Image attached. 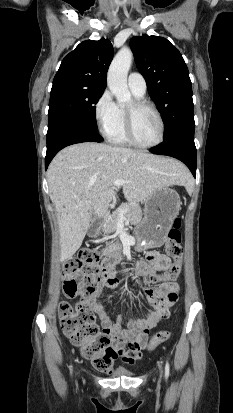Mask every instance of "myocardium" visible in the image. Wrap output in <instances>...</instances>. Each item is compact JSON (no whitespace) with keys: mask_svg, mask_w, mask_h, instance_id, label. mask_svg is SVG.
Here are the masks:
<instances>
[{"mask_svg":"<svg viewBox=\"0 0 233 413\" xmlns=\"http://www.w3.org/2000/svg\"><path fill=\"white\" fill-rule=\"evenodd\" d=\"M143 108L151 109L158 118L160 123V135L158 140L152 144H143L140 143L134 133V118L135 114L138 110ZM165 121L163 119L162 114L160 113L159 109L151 102L137 99L132 103L131 107L125 109V131L128 141L134 145L135 147L142 148V149H151L161 145L165 139Z\"/></svg>","mask_w":233,"mask_h":413,"instance_id":"obj_1","label":"myocardium"}]
</instances>
